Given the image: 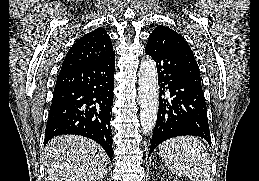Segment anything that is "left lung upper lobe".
<instances>
[{
    "mask_svg": "<svg viewBox=\"0 0 259 181\" xmlns=\"http://www.w3.org/2000/svg\"><path fill=\"white\" fill-rule=\"evenodd\" d=\"M164 41L176 43L178 50L179 69L181 73L193 84L202 89L200 71L193 52L187 42L174 30L159 25L150 34L148 43L152 45L162 44Z\"/></svg>",
    "mask_w": 259,
    "mask_h": 181,
    "instance_id": "5c2ea615",
    "label": "left lung upper lobe"
}]
</instances>
